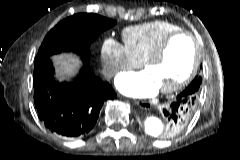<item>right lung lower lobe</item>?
Wrapping results in <instances>:
<instances>
[{"label":"right lung lower lobe","instance_id":"1","mask_svg":"<svg viewBox=\"0 0 240 160\" xmlns=\"http://www.w3.org/2000/svg\"><path fill=\"white\" fill-rule=\"evenodd\" d=\"M33 87L40 120L51 132L71 138L88 134L104 102L116 98L110 84L96 77L86 64L73 82L59 83L49 57L35 63Z\"/></svg>","mask_w":240,"mask_h":160}]
</instances>
